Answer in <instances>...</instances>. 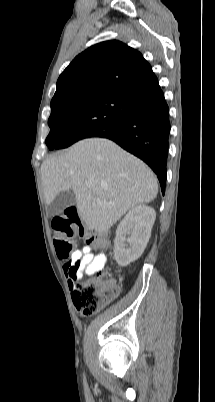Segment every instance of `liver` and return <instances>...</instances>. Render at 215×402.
<instances>
[{
  "label": "liver",
  "mask_w": 215,
  "mask_h": 402,
  "mask_svg": "<svg viewBox=\"0 0 215 402\" xmlns=\"http://www.w3.org/2000/svg\"><path fill=\"white\" fill-rule=\"evenodd\" d=\"M41 178L46 204L72 189L80 219L97 232H107L130 208L158 193L157 179L144 162L102 138L81 140L47 158Z\"/></svg>",
  "instance_id": "obj_1"
}]
</instances>
